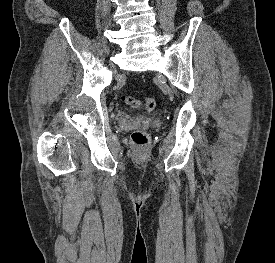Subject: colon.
<instances>
[{"mask_svg": "<svg viewBox=\"0 0 275 263\" xmlns=\"http://www.w3.org/2000/svg\"><path fill=\"white\" fill-rule=\"evenodd\" d=\"M124 102L133 108H140L146 113H151L156 108V100L154 98H145L139 100L131 95L124 96ZM131 141L134 146L145 147L150 142V136L145 131H135L131 136Z\"/></svg>", "mask_w": 275, "mask_h": 263, "instance_id": "5ec220e1", "label": "colon"}]
</instances>
